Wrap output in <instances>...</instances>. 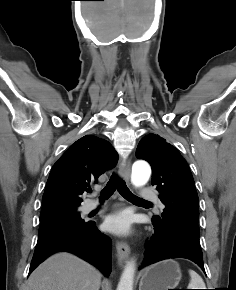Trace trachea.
Returning a JSON list of instances; mask_svg holds the SVG:
<instances>
[{
    "label": "trachea",
    "mask_w": 236,
    "mask_h": 290,
    "mask_svg": "<svg viewBox=\"0 0 236 290\" xmlns=\"http://www.w3.org/2000/svg\"><path fill=\"white\" fill-rule=\"evenodd\" d=\"M116 189L127 200L148 202L134 195L127 188L125 182L114 174L111 176L110 180L101 191L100 200L103 201L105 199H108L116 191ZM88 192H91V190H88Z\"/></svg>",
    "instance_id": "1"
}]
</instances>
